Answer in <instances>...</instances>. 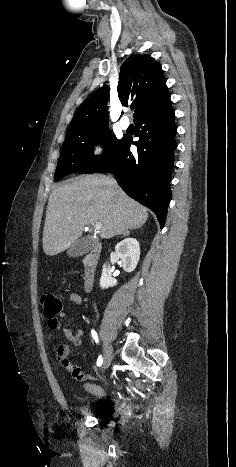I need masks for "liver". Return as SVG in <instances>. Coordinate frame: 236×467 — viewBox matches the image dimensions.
Instances as JSON below:
<instances>
[{
	"mask_svg": "<svg viewBox=\"0 0 236 467\" xmlns=\"http://www.w3.org/2000/svg\"><path fill=\"white\" fill-rule=\"evenodd\" d=\"M147 219V209L128 197L112 178L77 177L55 188L49 196L43 250L53 256L68 249L86 225L101 223L100 237L108 239L142 226Z\"/></svg>",
	"mask_w": 236,
	"mask_h": 467,
	"instance_id": "obj_1",
	"label": "liver"
}]
</instances>
